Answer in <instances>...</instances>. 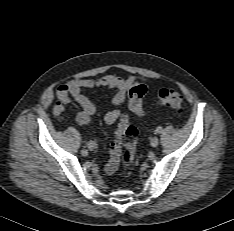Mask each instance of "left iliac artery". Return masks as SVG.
Returning <instances> with one entry per match:
<instances>
[{
	"label": "left iliac artery",
	"instance_id": "1",
	"mask_svg": "<svg viewBox=\"0 0 234 231\" xmlns=\"http://www.w3.org/2000/svg\"><path fill=\"white\" fill-rule=\"evenodd\" d=\"M157 134H160L162 132V128L161 127H157V129L155 130Z\"/></svg>",
	"mask_w": 234,
	"mask_h": 231
}]
</instances>
